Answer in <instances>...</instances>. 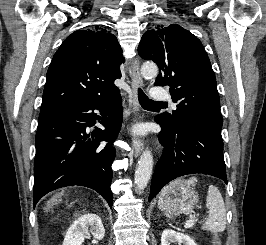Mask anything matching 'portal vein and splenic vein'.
<instances>
[{
	"instance_id": "1",
	"label": "portal vein and splenic vein",
	"mask_w": 266,
	"mask_h": 245,
	"mask_svg": "<svg viewBox=\"0 0 266 245\" xmlns=\"http://www.w3.org/2000/svg\"><path fill=\"white\" fill-rule=\"evenodd\" d=\"M194 221H186L184 227L185 229H190V227H193Z\"/></svg>"
}]
</instances>
